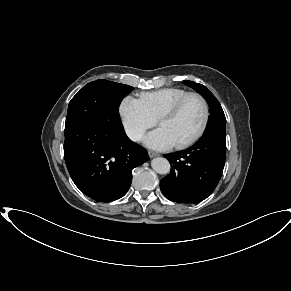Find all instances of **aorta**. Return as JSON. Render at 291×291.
Returning a JSON list of instances; mask_svg holds the SVG:
<instances>
[{"instance_id": "762f6f07", "label": "aorta", "mask_w": 291, "mask_h": 291, "mask_svg": "<svg viewBox=\"0 0 291 291\" xmlns=\"http://www.w3.org/2000/svg\"><path fill=\"white\" fill-rule=\"evenodd\" d=\"M151 167L159 174H168L170 172V163L166 158H154L151 161Z\"/></svg>"}]
</instances>
